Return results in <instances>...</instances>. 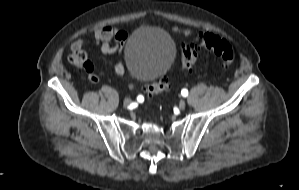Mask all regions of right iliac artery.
<instances>
[{"label":"right iliac artery","mask_w":299,"mask_h":190,"mask_svg":"<svg viewBox=\"0 0 299 190\" xmlns=\"http://www.w3.org/2000/svg\"><path fill=\"white\" fill-rule=\"evenodd\" d=\"M137 99H138V100H143L144 98H143V96H138Z\"/></svg>","instance_id":"1"}]
</instances>
